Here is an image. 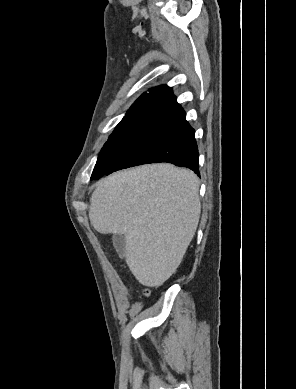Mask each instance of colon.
Returning <instances> with one entry per match:
<instances>
[{"mask_svg": "<svg viewBox=\"0 0 296 389\" xmlns=\"http://www.w3.org/2000/svg\"><path fill=\"white\" fill-rule=\"evenodd\" d=\"M144 293H145V294H147V293H148V291H145Z\"/></svg>", "mask_w": 296, "mask_h": 389, "instance_id": "1", "label": "colon"}]
</instances>
